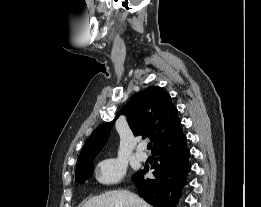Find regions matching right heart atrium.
I'll return each instance as SVG.
<instances>
[{
	"instance_id": "d8ad5b80",
	"label": "right heart atrium",
	"mask_w": 261,
	"mask_h": 207,
	"mask_svg": "<svg viewBox=\"0 0 261 207\" xmlns=\"http://www.w3.org/2000/svg\"><path fill=\"white\" fill-rule=\"evenodd\" d=\"M125 163L116 157L106 158L97 167V179L103 184H116L125 175Z\"/></svg>"
}]
</instances>
